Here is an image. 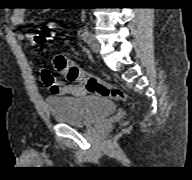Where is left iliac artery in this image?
Returning a JSON list of instances; mask_svg holds the SVG:
<instances>
[{"instance_id":"obj_1","label":"left iliac artery","mask_w":192,"mask_h":180,"mask_svg":"<svg viewBox=\"0 0 192 180\" xmlns=\"http://www.w3.org/2000/svg\"><path fill=\"white\" fill-rule=\"evenodd\" d=\"M90 36V32L88 29V23L84 26L83 30H82V38L85 42H88Z\"/></svg>"}]
</instances>
